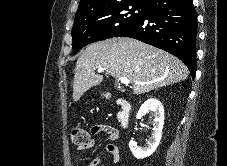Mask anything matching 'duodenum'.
Segmentation results:
<instances>
[{"label": "duodenum", "mask_w": 227, "mask_h": 166, "mask_svg": "<svg viewBox=\"0 0 227 166\" xmlns=\"http://www.w3.org/2000/svg\"><path fill=\"white\" fill-rule=\"evenodd\" d=\"M119 112H118V120L122 127H127L130 119L131 113V105L126 100H118Z\"/></svg>", "instance_id": "1"}]
</instances>
